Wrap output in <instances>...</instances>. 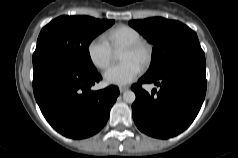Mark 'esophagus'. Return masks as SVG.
<instances>
[{"label":"esophagus","mask_w":238,"mask_h":158,"mask_svg":"<svg viewBox=\"0 0 238 158\" xmlns=\"http://www.w3.org/2000/svg\"><path fill=\"white\" fill-rule=\"evenodd\" d=\"M126 90H128V87H120L119 88V91H120V93H123V92H125Z\"/></svg>","instance_id":"1"}]
</instances>
